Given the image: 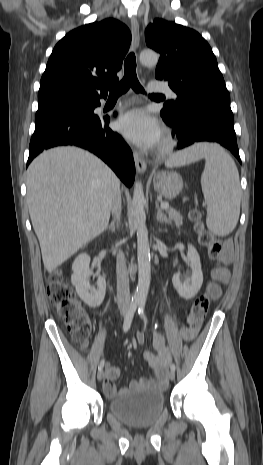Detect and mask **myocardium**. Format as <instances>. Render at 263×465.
Instances as JSON below:
<instances>
[{"mask_svg":"<svg viewBox=\"0 0 263 465\" xmlns=\"http://www.w3.org/2000/svg\"><path fill=\"white\" fill-rule=\"evenodd\" d=\"M174 147V140L170 133H165L158 145L157 152L160 155H166L172 151Z\"/></svg>","mask_w":263,"mask_h":465,"instance_id":"myocardium-1","label":"myocardium"}]
</instances>
